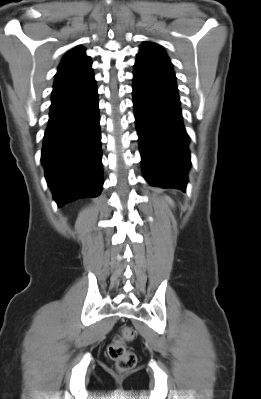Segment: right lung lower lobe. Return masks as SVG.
I'll return each instance as SVG.
<instances>
[{"label":"right lung lower lobe","instance_id":"right-lung-lower-lobe-1","mask_svg":"<svg viewBox=\"0 0 261 399\" xmlns=\"http://www.w3.org/2000/svg\"><path fill=\"white\" fill-rule=\"evenodd\" d=\"M41 161L58 206L102 191L98 94L93 73L52 91Z\"/></svg>","mask_w":261,"mask_h":399}]
</instances>
